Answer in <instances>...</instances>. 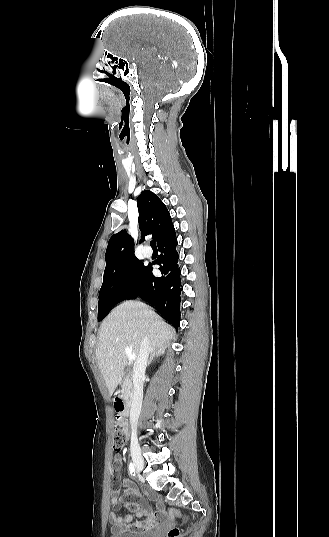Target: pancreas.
<instances>
[{
	"label": "pancreas",
	"instance_id": "cf45deb5",
	"mask_svg": "<svg viewBox=\"0 0 329 537\" xmlns=\"http://www.w3.org/2000/svg\"><path fill=\"white\" fill-rule=\"evenodd\" d=\"M121 388H122V389H121V392H122L123 394H128V393H130V391H129V389H128V385H127L126 382H124V383L121 385Z\"/></svg>",
	"mask_w": 329,
	"mask_h": 537
}]
</instances>
